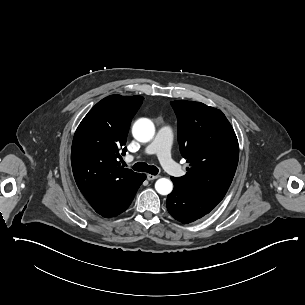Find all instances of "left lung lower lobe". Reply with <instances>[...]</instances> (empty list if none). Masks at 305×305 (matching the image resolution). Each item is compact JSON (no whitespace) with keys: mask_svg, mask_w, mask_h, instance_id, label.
Masks as SVG:
<instances>
[{"mask_svg":"<svg viewBox=\"0 0 305 305\" xmlns=\"http://www.w3.org/2000/svg\"><path fill=\"white\" fill-rule=\"evenodd\" d=\"M173 191L167 198L169 213L181 223H191L208 214L221 201L187 192L173 178Z\"/></svg>","mask_w":305,"mask_h":305,"instance_id":"0a47b994","label":"left lung lower lobe"}]
</instances>
